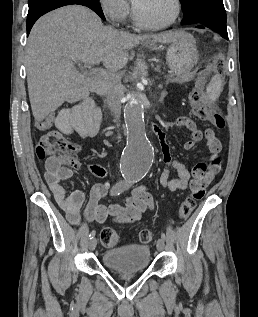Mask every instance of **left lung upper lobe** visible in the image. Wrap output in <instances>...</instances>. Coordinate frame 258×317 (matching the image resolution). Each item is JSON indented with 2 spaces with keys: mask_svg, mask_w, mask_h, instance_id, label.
Returning a JSON list of instances; mask_svg holds the SVG:
<instances>
[{
  "mask_svg": "<svg viewBox=\"0 0 258 317\" xmlns=\"http://www.w3.org/2000/svg\"><path fill=\"white\" fill-rule=\"evenodd\" d=\"M183 9V24H194L198 19L213 16L226 25L223 0H180Z\"/></svg>",
  "mask_w": 258,
  "mask_h": 317,
  "instance_id": "5c2ea615",
  "label": "left lung upper lobe"
}]
</instances>
